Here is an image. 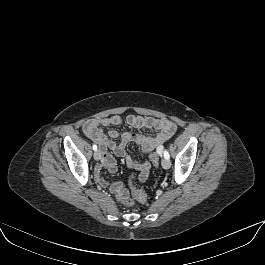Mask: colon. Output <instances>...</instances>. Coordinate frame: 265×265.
<instances>
[{"mask_svg": "<svg viewBox=\"0 0 265 265\" xmlns=\"http://www.w3.org/2000/svg\"><path fill=\"white\" fill-rule=\"evenodd\" d=\"M160 154H161V148L159 147L150 154L151 162L155 167L159 165ZM133 179L134 178L130 179L129 185L134 198L141 204H147L148 196L142 190H139L135 187ZM110 190L115 194L116 198L124 205L133 204V200L130 198L129 192L124 188L122 183L120 182L112 183L110 186Z\"/></svg>", "mask_w": 265, "mask_h": 265, "instance_id": "1", "label": "colon"}]
</instances>
